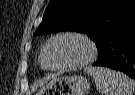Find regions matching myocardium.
<instances>
[{
	"instance_id": "1",
	"label": "myocardium",
	"mask_w": 135,
	"mask_h": 95,
	"mask_svg": "<svg viewBox=\"0 0 135 95\" xmlns=\"http://www.w3.org/2000/svg\"><path fill=\"white\" fill-rule=\"evenodd\" d=\"M66 37H73V38L82 40L88 48V55L84 60L70 66H63V67L53 66L51 65L49 61V53H50L51 47L54 44V42H56L57 40L61 38H66ZM96 55H97L96 44L88 35L81 32H77V31H67V32H62L55 35L48 41L45 52H44V63H45L46 68L50 70L71 71V70H76V69L86 66L96 57Z\"/></svg>"
}]
</instances>
